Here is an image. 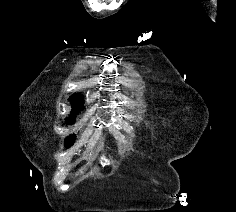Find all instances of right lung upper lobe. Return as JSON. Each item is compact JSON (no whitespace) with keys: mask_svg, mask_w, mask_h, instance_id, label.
Masks as SVG:
<instances>
[{"mask_svg":"<svg viewBox=\"0 0 236 212\" xmlns=\"http://www.w3.org/2000/svg\"><path fill=\"white\" fill-rule=\"evenodd\" d=\"M71 104L73 107L72 112H77V111L81 110L83 107L82 95L79 94V95L71 96Z\"/></svg>","mask_w":236,"mask_h":212,"instance_id":"obj_1","label":"right lung upper lobe"}]
</instances>
